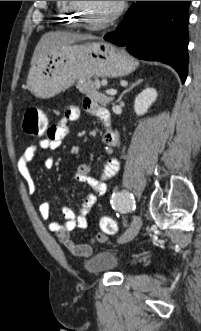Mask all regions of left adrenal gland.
I'll use <instances>...</instances> for the list:
<instances>
[{"instance_id": "left-adrenal-gland-1", "label": "left adrenal gland", "mask_w": 201, "mask_h": 331, "mask_svg": "<svg viewBox=\"0 0 201 331\" xmlns=\"http://www.w3.org/2000/svg\"><path fill=\"white\" fill-rule=\"evenodd\" d=\"M142 81H143L142 79H138L129 88H127L126 90H124L122 92V94L119 96V98H118V100L116 102H120L122 100V97L124 96V94H126L127 92H129L130 90H132L135 86L139 85Z\"/></svg>"}]
</instances>
